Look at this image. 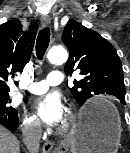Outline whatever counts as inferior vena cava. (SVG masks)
<instances>
[{"label": "inferior vena cava", "mask_w": 130, "mask_h": 153, "mask_svg": "<svg viewBox=\"0 0 130 153\" xmlns=\"http://www.w3.org/2000/svg\"><path fill=\"white\" fill-rule=\"evenodd\" d=\"M22 133L25 145L29 149L30 153H37L42 135L40 122L36 121L34 123L24 125L22 128Z\"/></svg>", "instance_id": "602c4592"}]
</instances>
